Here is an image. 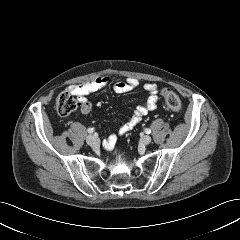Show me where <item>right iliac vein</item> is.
Here are the masks:
<instances>
[{"label":"right iliac vein","mask_w":240,"mask_h":240,"mask_svg":"<svg viewBox=\"0 0 240 240\" xmlns=\"http://www.w3.org/2000/svg\"><path fill=\"white\" fill-rule=\"evenodd\" d=\"M86 142L90 146H96L99 143V139L94 135H88L86 137Z\"/></svg>","instance_id":"obj_1"}]
</instances>
